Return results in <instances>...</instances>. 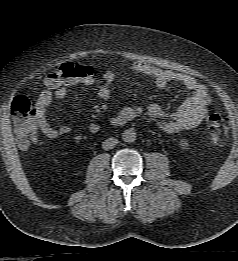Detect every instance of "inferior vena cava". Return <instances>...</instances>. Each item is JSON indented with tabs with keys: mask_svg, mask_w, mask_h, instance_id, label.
Wrapping results in <instances>:
<instances>
[{
	"mask_svg": "<svg viewBox=\"0 0 238 261\" xmlns=\"http://www.w3.org/2000/svg\"><path fill=\"white\" fill-rule=\"evenodd\" d=\"M118 143V140L116 138H108L106 139L103 144H102V148L104 150H110L113 149Z\"/></svg>",
	"mask_w": 238,
	"mask_h": 261,
	"instance_id": "602c4592",
	"label": "inferior vena cava"
}]
</instances>
